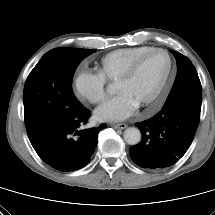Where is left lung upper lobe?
Listing matches in <instances>:
<instances>
[{"mask_svg": "<svg viewBox=\"0 0 215 215\" xmlns=\"http://www.w3.org/2000/svg\"><path fill=\"white\" fill-rule=\"evenodd\" d=\"M172 53L177 60V75L165 104L182 101L201 110L202 88L195 67L187 57L175 51Z\"/></svg>", "mask_w": 215, "mask_h": 215, "instance_id": "left-lung-upper-lobe-1", "label": "left lung upper lobe"}]
</instances>
